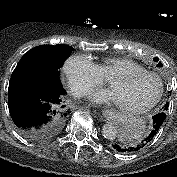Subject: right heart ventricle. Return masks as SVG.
Returning a JSON list of instances; mask_svg holds the SVG:
<instances>
[{"label":"right heart ventricle","mask_w":177,"mask_h":177,"mask_svg":"<svg viewBox=\"0 0 177 177\" xmlns=\"http://www.w3.org/2000/svg\"><path fill=\"white\" fill-rule=\"evenodd\" d=\"M103 77H111L114 74L130 70H145L139 63L129 58H108L96 63Z\"/></svg>","instance_id":"e07e8e85"}]
</instances>
